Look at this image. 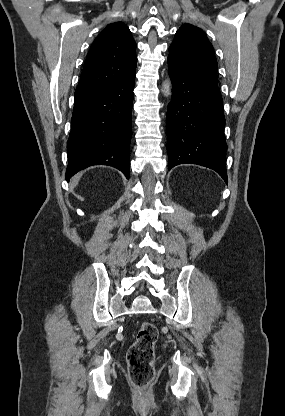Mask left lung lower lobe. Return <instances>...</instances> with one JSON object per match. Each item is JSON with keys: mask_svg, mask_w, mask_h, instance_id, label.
I'll return each instance as SVG.
<instances>
[{"mask_svg": "<svg viewBox=\"0 0 285 416\" xmlns=\"http://www.w3.org/2000/svg\"><path fill=\"white\" fill-rule=\"evenodd\" d=\"M172 100L167 111L168 168L191 163L216 171L227 183L223 100L218 85L168 61Z\"/></svg>", "mask_w": 285, "mask_h": 416, "instance_id": "0a47b994", "label": "left lung lower lobe"}]
</instances>
